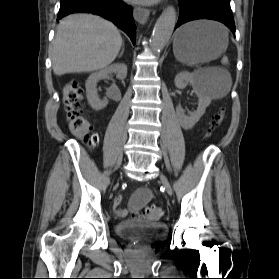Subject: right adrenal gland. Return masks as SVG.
<instances>
[{
    "label": "right adrenal gland",
    "mask_w": 279,
    "mask_h": 279,
    "mask_svg": "<svg viewBox=\"0 0 279 279\" xmlns=\"http://www.w3.org/2000/svg\"><path fill=\"white\" fill-rule=\"evenodd\" d=\"M123 53H124V47H122V51H121V53L119 54V58L122 57Z\"/></svg>",
    "instance_id": "2a0ac1e0"
}]
</instances>
